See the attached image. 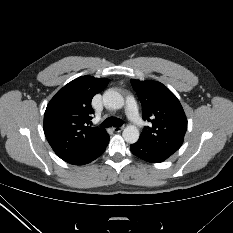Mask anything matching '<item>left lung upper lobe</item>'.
Masks as SVG:
<instances>
[{"label":"left lung upper lobe","instance_id":"1","mask_svg":"<svg viewBox=\"0 0 233 233\" xmlns=\"http://www.w3.org/2000/svg\"><path fill=\"white\" fill-rule=\"evenodd\" d=\"M142 104L143 119L152 122L140 138L147 145L173 154L182 145L187 119L177 97L162 83L131 80Z\"/></svg>","mask_w":233,"mask_h":233}]
</instances>
